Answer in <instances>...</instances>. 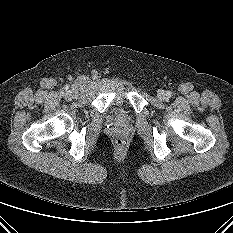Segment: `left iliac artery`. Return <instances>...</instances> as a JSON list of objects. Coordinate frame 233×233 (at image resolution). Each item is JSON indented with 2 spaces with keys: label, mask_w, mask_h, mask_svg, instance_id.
Masks as SVG:
<instances>
[{
  "label": "left iliac artery",
  "mask_w": 233,
  "mask_h": 233,
  "mask_svg": "<svg viewBox=\"0 0 233 233\" xmlns=\"http://www.w3.org/2000/svg\"><path fill=\"white\" fill-rule=\"evenodd\" d=\"M166 96L170 98L172 96V93L170 91H167Z\"/></svg>",
  "instance_id": "44dca946"
}]
</instances>
